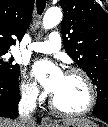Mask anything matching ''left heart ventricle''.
Instances as JSON below:
<instances>
[{
    "label": "left heart ventricle",
    "mask_w": 108,
    "mask_h": 127,
    "mask_svg": "<svg viewBox=\"0 0 108 127\" xmlns=\"http://www.w3.org/2000/svg\"><path fill=\"white\" fill-rule=\"evenodd\" d=\"M53 96L61 108L70 111L84 108L88 100L86 86L75 74H65Z\"/></svg>",
    "instance_id": "obj_1"
}]
</instances>
